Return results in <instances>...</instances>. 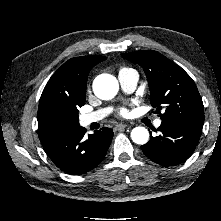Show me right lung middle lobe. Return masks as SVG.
Instances as JSON below:
<instances>
[{"label":"right lung middle lobe","mask_w":221,"mask_h":221,"mask_svg":"<svg viewBox=\"0 0 221 221\" xmlns=\"http://www.w3.org/2000/svg\"><path fill=\"white\" fill-rule=\"evenodd\" d=\"M81 106L82 105H80L79 107ZM58 118L62 121L70 123L73 126L79 127L78 106H73L59 110Z\"/></svg>","instance_id":"obj_1"}]
</instances>
